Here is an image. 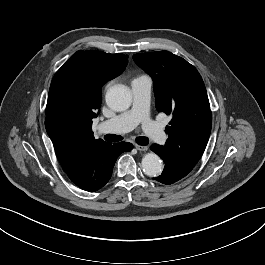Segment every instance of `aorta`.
<instances>
[{"label":"aorta","mask_w":265,"mask_h":265,"mask_svg":"<svg viewBox=\"0 0 265 265\" xmlns=\"http://www.w3.org/2000/svg\"><path fill=\"white\" fill-rule=\"evenodd\" d=\"M105 98L107 105L117 112L128 109L132 102L131 91L122 84L110 87L106 92ZM141 165L144 173L150 177L159 176L163 170L162 161L155 153L144 155Z\"/></svg>","instance_id":"1"}]
</instances>
